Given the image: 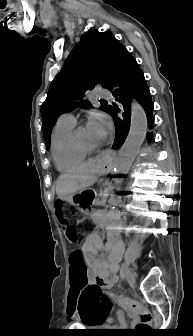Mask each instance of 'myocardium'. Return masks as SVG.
Instances as JSON below:
<instances>
[{"label":"myocardium","instance_id":"myocardium-1","mask_svg":"<svg viewBox=\"0 0 193 336\" xmlns=\"http://www.w3.org/2000/svg\"><path fill=\"white\" fill-rule=\"evenodd\" d=\"M83 126L78 127L75 132L73 133V141L75 143V145L81 149L82 151L86 152V153H94L96 151H98L101 148V144L98 145H88L83 143L77 136V133L80 129H82Z\"/></svg>","mask_w":193,"mask_h":336}]
</instances>
